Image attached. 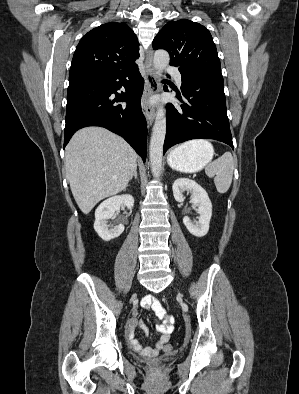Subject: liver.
<instances>
[{
    "label": "liver",
    "instance_id": "obj_1",
    "mask_svg": "<svg viewBox=\"0 0 299 394\" xmlns=\"http://www.w3.org/2000/svg\"><path fill=\"white\" fill-rule=\"evenodd\" d=\"M136 167L134 149L101 127L80 129L65 149L66 177L84 214L102 199L123 191Z\"/></svg>",
    "mask_w": 299,
    "mask_h": 394
}]
</instances>
